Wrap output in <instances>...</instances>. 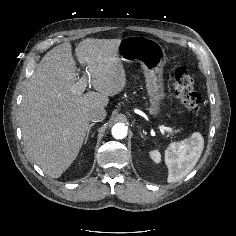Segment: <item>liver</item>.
<instances>
[{"mask_svg": "<svg viewBox=\"0 0 236 236\" xmlns=\"http://www.w3.org/2000/svg\"><path fill=\"white\" fill-rule=\"evenodd\" d=\"M119 43L87 38L76 47L78 61L86 67L83 77L97 92H74L78 74L68 42L45 54L26 85L20 108L23 140L31 159L52 178L76 159L89 128L88 112L106 107L108 97L126 86Z\"/></svg>", "mask_w": 236, "mask_h": 236, "instance_id": "liver-1", "label": "liver"}]
</instances>
